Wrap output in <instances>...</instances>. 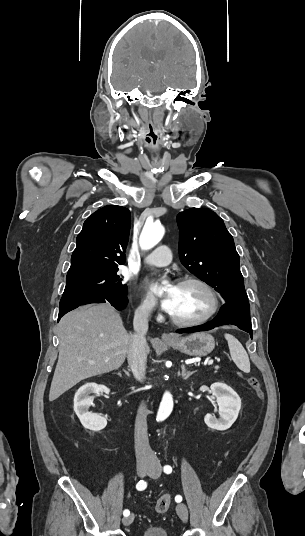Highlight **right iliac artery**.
Returning <instances> with one entry per match:
<instances>
[{"mask_svg": "<svg viewBox=\"0 0 305 536\" xmlns=\"http://www.w3.org/2000/svg\"><path fill=\"white\" fill-rule=\"evenodd\" d=\"M147 487V483L144 481V480H140L137 485H136V488L137 490L139 491H142L144 490L145 488ZM130 514V511L128 509L124 510L123 512V515L126 517V516H129Z\"/></svg>", "mask_w": 305, "mask_h": 536, "instance_id": "obj_1", "label": "right iliac artery"}]
</instances>
